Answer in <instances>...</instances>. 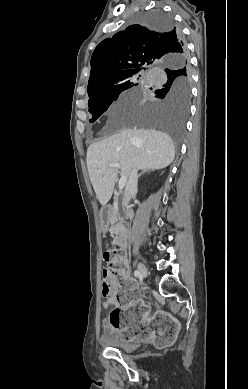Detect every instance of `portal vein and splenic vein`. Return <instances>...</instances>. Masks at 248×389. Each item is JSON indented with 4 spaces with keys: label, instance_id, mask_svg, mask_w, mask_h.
<instances>
[{
    "label": "portal vein and splenic vein",
    "instance_id": "18ae733b",
    "mask_svg": "<svg viewBox=\"0 0 248 389\" xmlns=\"http://www.w3.org/2000/svg\"><path fill=\"white\" fill-rule=\"evenodd\" d=\"M109 167L110 168H112V167L120 168V165L118 163H110ZM126 182H127V176L126 175L121 176V178L119 180V184H118L119 191H121L124 188V186L126 185Z\"/></svg>",
    "mask_w": 248,
    "mask_h": 389
}]
</instances>
